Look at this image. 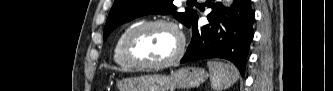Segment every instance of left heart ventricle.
I'll use <instances>...</instances> for the list:
<instances>
[{
	"label": "left heart ventricle",
	"mask_w": 333,
	"mask_h": 91,
	"mask_svg": "<svg viewBox=\"0 0 333 91\" xmlns=\"http://www.w3.org/2000/svg\"><path fill=\"white\" fill-rule=\"evenodd\" d=\"M179 39L169 27L157 26L137 35L133 50L140 59L156 63L170 59L178 49Z\"/></svg>",
	"instance_id": "b2bd125f"
}]
</instances>
